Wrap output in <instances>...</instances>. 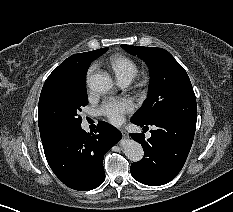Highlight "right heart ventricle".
<instances>
[{
    "mask_svg": "<svg viewBox=\"0 0 233 212\" xmlns=\"http://www.w3.org/2000/svg\"><path fill=\"white\" fill-rule=\"evenodd\" d=\"M108 67L114 73L116 79L131 82L138 73L137 63L123 54H114L108 59Z\"/></svg>",
    "mask_w": 233,
    "mask_h": 212,
    "instance_id": "obj_1",
    "label": "right heart ventricle"
}]
</instances>
